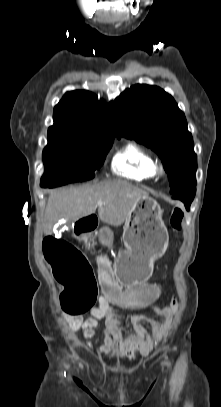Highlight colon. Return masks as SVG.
<instances>
[{"instance_id":"obj_1","label":"colon","mask_w":221,"mask_h":407,"mask_svg":"<svg viewBox=\"0 0 221 407\" xmlns=\"http://www.w3.org/2000/svg\"><path fill=\"white\" fill-rule=\"evenodd\" d=\"M183 221L184 209L174 207L170 217L171 227L180 231ZM98 227L96 216H78L72 232L75 239H95ZM43 252L55 278L63 286V310L71 316H79L90 310L96 302L98 284L85 256L71 243L54 237L45 239ZM101 282L107 291L106 299L118 311H148L150 306L163 298L161 283H130L119 291L118 284L107 270L102 272Z\"/></svg>"}]
</instances>
